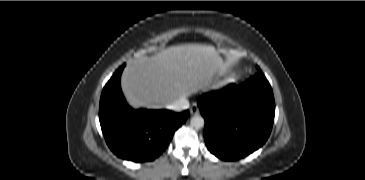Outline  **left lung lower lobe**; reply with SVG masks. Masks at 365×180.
<instances>
[{"label": "left lung lower lobe", "mask_w": 365, "mask_h": 180, "mask_svg": "<svg viewBox=\"0 0 365 180\" xmlns=\"http://www.w3.org/2000/svg\"><path fill=\"white\" fill-rule=\"evenodd\" d=\"M198 106L205 119L208 150L223 160H238L268 139L275 115L272 88L257 73L242 85L231 84L202 95Z\"/></svg>", "instance_id": "left-lung-lower-lobe-1"}]
</instances>
